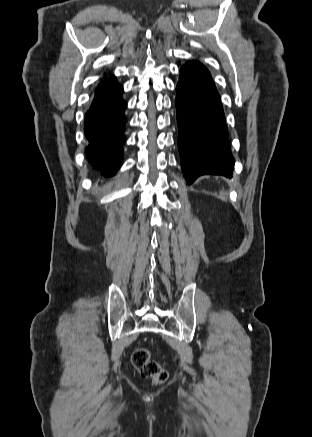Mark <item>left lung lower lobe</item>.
<instances>
[{"label": "left lung lower lobe", "instance_id": "1", "mask_svg": "<svg viewBox=\"0 0 312 437\" xmlns=\"http://www.w3.org/2000/svg\"><path fill=\"white\" fill-rule=\"evenodd\" d=\"M176 91L178 147L188 183L204 174L231 177L234 159L220 95L209 71L188 62L180 70Z\"/></svg>", "mask_w": 312, "mask_h": 437}]
</instances>
